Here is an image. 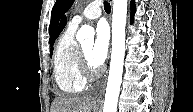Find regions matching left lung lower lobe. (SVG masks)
I'll list each match as a JSON object with an SVG mask.
<instances>
[{"instance_id":"1","label":"left lung lower lobe","mask_w":193,"mask_h":112,"mask_svg":"<svg viewBox=\"0 0 193 112\" xmlns=\"http://www.w3.org/2000/svg\"><path fill=\"white\" fill-rule=\"evenodd\" d=\"M135 13V2L134 0H131V22L133 21V15Z\"/></svg>"}]
</instances>
